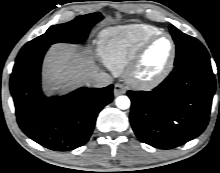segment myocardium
<instances>
[{
    "label": "myocardium",
    "instance_id": "1",
    "mask_svg": "<svg viewBox=\"0 0 220 173\" xmlns=\"http://www.w3.org/2000/svg\"><path fill=\"white\" fill-rule=\"evenodd\" d=\"M167 37L170 41V56L166 66L155 76L142 78L138 75L142 59L148 48L159 38ZM176 43L171 34L168 32H159L147 38L136 50L132 60L124 70L125 81L133 88L139 90H150L161 84L172 72L176 60Z\"/></svg>",
    "mask_w": 220,
    "mask_h": 173
}]
</instances>
